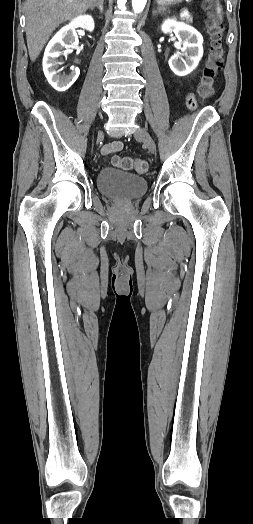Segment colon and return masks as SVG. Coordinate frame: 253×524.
<instances>
[{
    "instance_id": "colon-1",
    "label": "colon",
    "mask_w": 253,
    "mask_h": 524,
    "mask_svg": "<svg viewBox=\"0 0 253 524\" xmlns=\"http://www.w3.org/2000/svg\"><path fill=\"white\" fill-rule=\"evenodd\" d=\"M205 8L213 7V0H203ZM208 32L211 45L207 60L203 69L202 79L197 89V98L207 99L212 96L214 84L218 77L224 61L223 48V27L220 20L210 13L208 19ZM114 163L123 170H135L137 173H145L148 170V163L139 158L122 157L115 158Z\"/></svg>"
}]
</instances>
